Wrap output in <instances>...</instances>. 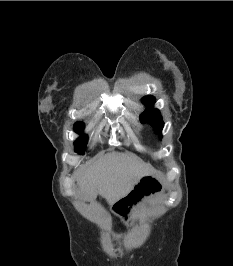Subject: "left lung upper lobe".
<instances>
[{"mask_svg":"<svg viewBox=\"0 0 233 266\" xmlns=\"http://www.w3.org/2000/svg\"><path fill=\"white\" fill-rule=\"evenodd\" d=\"M144 104L148 105L147 109L140 115V121L142 123L148 122L153 126L155 133H159L160 138L162 137L161 131L164 123L160 112L157 109H153L152 106L155 102L153 96H147L143 98Z\"/></svg>","mask_w":233,"mask_h":266,"instance_id":"left-lung-upper-lobe-1","label":"left lung upper lobe"}]
</instances>
